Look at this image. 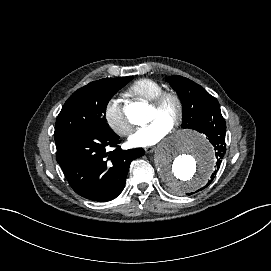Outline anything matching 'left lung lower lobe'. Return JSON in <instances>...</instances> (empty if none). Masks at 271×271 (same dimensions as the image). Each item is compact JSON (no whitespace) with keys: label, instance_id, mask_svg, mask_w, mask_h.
Returning <instances> with one entry per match:
<instances>
[{"label":"left lung lower lobe","instance_id":"left-lung-lower-lobe-1","mask_svg":"<svg viewBox=\"0 0 271 271\" xmlns=\"http://www.w3.org/2000/svg\"><path fill=\"white\" fill-rule=\"evenodd\" d=\"M198 132L205 134L215 149L216 165L215 171L211 175V179L201 189L207 187L215 178L217 170L220 168L224 153L226 152L225 144V133H226V122L223 118L221 111L214 112L210 117L199 124L196 129ZM191 195V193H188Z\"/></svg>","mask_w":271,"mask_h":271}]
</instances>
